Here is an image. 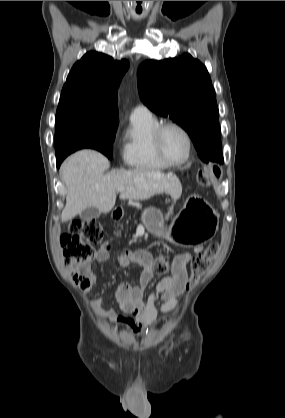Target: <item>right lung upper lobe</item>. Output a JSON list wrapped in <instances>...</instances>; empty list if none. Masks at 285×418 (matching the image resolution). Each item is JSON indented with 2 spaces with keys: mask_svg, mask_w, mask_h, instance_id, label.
<instances>
[{
  "mask_svg": "<svg viewBox=\"0 0 285 418\" xmlns=\"http://www.w3.org/2000/svg\"><path fill=\"white\" fill-rule=\"evenodd\" d=\"M128 68V60H114L95 51L86 53L72 67L57 109L89 110L117 118L116 93Z\"/></svg>",
  "mask_w": 285,
  "mask_h": 418,
  "instance_id": "obj_1",
  "label": "right lung upper lobe"
}]
</instances>
